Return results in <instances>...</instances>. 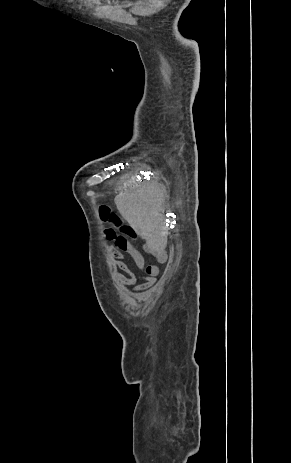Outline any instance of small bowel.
Wrapping results in <instances>:
<instances>
[{
  "mask_svg": "<svg viewBox=\"0 0 291 463\" xmlns=\"http://www.w3.org/2000/svg\"><path fill=\"white\" fill-rule=\"evenodd\" d=\"M113 239L115 243L109 247V251L113 257L114 266L119 270L115 275L117 281L124 285H132L134 291H142L152 287L159 274L158 268L155 265L146 266L142 253L138 251L126 237L115 235ZM145 250L153 254L159 262L164 261L165 253L163 251L150 246H146ZM125 253L132 258L138 269L146 273V276L143 277V283L137 284V276L123 260Z\"/></svg>",
  "mask_w": 291,
  "mask_h": 463,
  "instance_id": "obj_1",
  "label": "small bowel"
}]
</instances>
